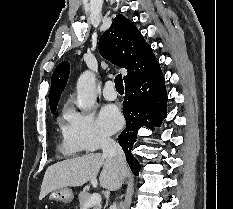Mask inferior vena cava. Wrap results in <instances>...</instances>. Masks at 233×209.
Returning <instances> with one entry per match:
<instances>
[{
	"label": "inferior vena cava",
	"mask_w": 233,
	"mask_h": 209,
	"mask_svg": "<svg viewBox=\"0 0 233 209\" xmlns=\"http://www.w3.org/2000/svg\"><path fill=\"white\" fill-rule=\"evenodd\" d=\"M101 149L104 157L113 159L118 164L121 170L123 183L125 178L124 168L126 166V160L121 146L111 138L103 137L101 140ZM111 209H117L116 204H113Z\"/></svg>",
	"instance_id": "1"
}]
</instances>
